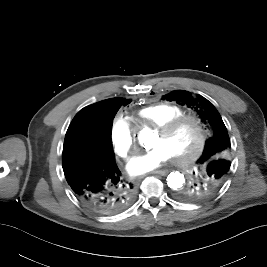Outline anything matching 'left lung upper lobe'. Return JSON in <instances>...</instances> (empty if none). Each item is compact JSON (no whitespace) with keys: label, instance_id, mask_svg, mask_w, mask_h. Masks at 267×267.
Wrapping results in <instances>:
<instances>
[{"label":"left lung upper lobe","instance_id":"obj_1","mask_svg":"<svg viewBox=\"0 0 267 267\" xmlns=\"http://www.w3.org/2000/svg\"><path fill=\"white\" fill-rule=\"evenodd\" d=\"M164 99L191 107L202 123L211 129L212 136L206 141L202 156L208 153H223L230 158L231 143L227 129L219 112L211 102L201 95L195 98L185 90L172 91L164 95L162 100Z\"/></svg>","mask_w":267,"mask_h":267}]
</instances>
